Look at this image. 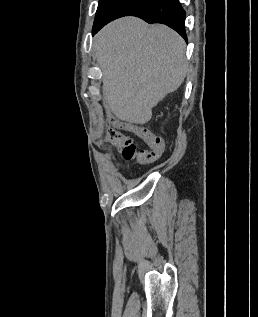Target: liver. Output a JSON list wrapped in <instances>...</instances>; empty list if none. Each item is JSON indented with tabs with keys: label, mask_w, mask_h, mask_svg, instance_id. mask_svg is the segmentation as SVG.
Segmentation results:
<instances>
[{
	"label": "liver",
	"mask_w": 258,
	"mask_h": 317,
	"mask_svg": "<svg viewBox=\"0 0 258 317\" xmlns=\"http://www.w3.org/2000/svg\"><path fill=\"white\" fill-rule=\"evenodd\" d=\"M94 46L106 100L126 122H148L153 106L186 76V44L165 24L123 16L99 30Z\"/></svg>",
	"instance_id": "obj_1"
}]
</instances>
